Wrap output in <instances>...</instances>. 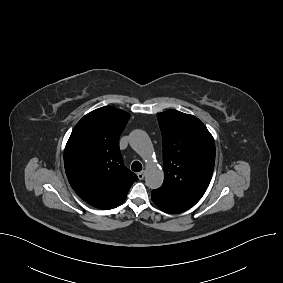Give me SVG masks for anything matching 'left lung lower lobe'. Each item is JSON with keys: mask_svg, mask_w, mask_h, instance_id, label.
Instances as JSON below:
<instances>
[{"mask_svg": "<svg viewBox=\"0 0 283 283\" xmlns=\"http://www.w3.org/2000/svg\"><path fill=\"white\" fill-rule=\"evenodd\" d=\"M151 198L153 202L164 212L173 213V214L183 212V210L178 208L169 199L164 197L162 193L159 192L157 189L152 191Z\"/></svg>", "mask_w": 283, "mask_h": 283, "instance_id": "1", "label": "left lung lower lobe"}]
</instances>
